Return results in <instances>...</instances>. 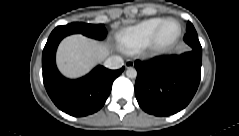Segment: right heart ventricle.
Here are the masks:
<instances>
[{
    "instance_id": "1",
    "label": "right heart ventricle",
    "mask_w": 239,
    "mask_h": 136,
    "mask_svg": "<svg viewBox=\"0 0 239 136\" xmlns=\"http://www.w3.org/2000/svg\"><path fill=\"white\" fill-rule=\"evenodd\" d=\"M164 22L161 19H152L141 23L130 31L119 37L123 47H134L141 45L152 37L158 27Z\"/></svg>"
}]
</instances>
